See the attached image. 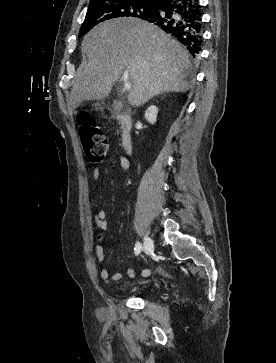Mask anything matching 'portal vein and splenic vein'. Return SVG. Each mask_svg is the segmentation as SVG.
<instances>
[{
    "instance_id": "1",
    "label": "portal vein and splenic vein",
    "mask_w": 276,
    "mask_h": 363,
    "mask_svg": "<svg viewBox=\"0 0 276 363\" xmlns=\"http://www.w3.org/2000/svg\"><path fill=\"white\" fill-rule=\"evenodd\" d=\"M123 80H124V90H130L131 84L129 82V77L127 74L123 75Z\"/></svg>"
}]
</instances>
